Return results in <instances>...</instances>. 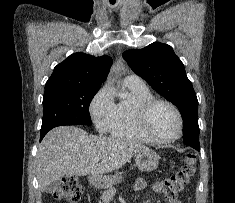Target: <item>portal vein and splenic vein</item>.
Listing matches in <instances>:
<instances>
[{"label": "portal vein and splenic vein", "mask_w": 235, "mask_h": 203, "mask_svg": "<svg viewBox=\"0 0 235 203\" xmlns=\"http://www.w3.org/2000/svg\"><path fill=\"white\" fill-rule=\"evenodd\" d=\"M94 162H95V163L99 162V159H98V158H95V159H94Z\"/></svg>", "instance_id": "1"}]
</instances>
